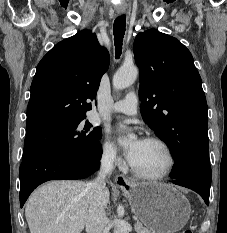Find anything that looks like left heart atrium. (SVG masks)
I'll use <instances>...</instances> for the list:
<instances>
[{
    "label": "left heart atrium",
    "instance_id": "1",
    "mask_svg": "<svg viewBox=\"0 0 227 233\" xmlns=\"http://www.w3.org/2000/svg\"><path fill=\"white\" fill-rule=\"evenodd\" d=\"M142 142L143 141H141V140H136L125 150V155H126L127 159L129 160V162L135 156V153Z\"/></svg>",
    "mask_w": 227,
    "mask_h": 233
}]
</instances>
